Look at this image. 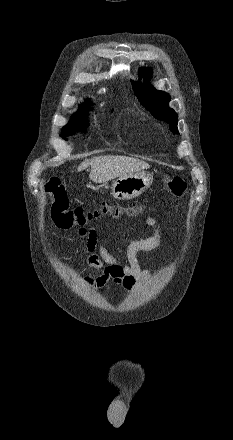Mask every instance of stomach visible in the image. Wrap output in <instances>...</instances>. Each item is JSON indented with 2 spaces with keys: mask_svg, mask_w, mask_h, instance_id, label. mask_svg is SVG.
I'll return each instance as SVG.
<instances>
[{
  "mask_svg": "<svg viewBox=\"0 0 233 440\" xmlns=\"http://www.w3.org/2000/svg\"><path fill=\"white\" fill-rule=\"evenodd\" d=\"M153 182V176L147 172H134L119 177L111 186V194L118 200L133 199L148 189Z\"/></svg>",
  "mask_w": 233,
  "mask_h": 440,
  "instance_id": "stomach-1",
  "label": "stomach"
}]
</instances>
